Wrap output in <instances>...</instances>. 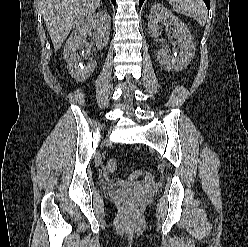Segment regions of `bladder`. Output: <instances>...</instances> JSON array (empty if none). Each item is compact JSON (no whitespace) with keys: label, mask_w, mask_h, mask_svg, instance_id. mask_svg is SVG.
<instances>
[{"label":"bladder","mask_w":248,"mask_h":247,"mask_svg":"<svg viewBox=\"0 0 248 247\" xmlns=\"http://www.w3.org/2000/svg\"><path fill=\"white\" fill-rule=\"evenodd\" d=\"M114 187L113 186H110V185H107L106 186V190H112Z\"/></svg>","instance_id":"1"}]
</instances>
